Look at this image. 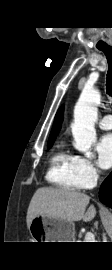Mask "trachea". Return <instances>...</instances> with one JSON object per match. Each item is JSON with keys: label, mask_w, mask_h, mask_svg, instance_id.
Masks as SVG:
<instances>
[{"label": "trachea", "mask_w": 112, "mask_h": 270, "mask_svg": "<svg viewBox=\"0 0 112 270\" xmlns=\"http://www.w3.org/2000/svg\"><path fill=\"white\" fill-rule=\"evenodd\" d=\"M101 51H103L106 55L107 62H108V71H107V78H106V90L107 94H109L112 97V48H101Z\"/></svg>", "instance_id": "trachea-1"}]
</instances>
